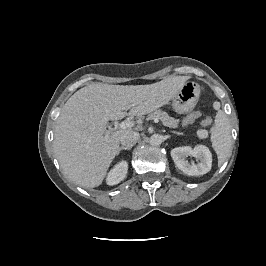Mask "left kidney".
Returning a JSON list of instances; mask_svg holds the SVG:
<instances>
[{
	"label": "left kidney",
	"instance_id": "obj_1",
	"mask_svg": "<svg viewBox=\"0 0 266 266\" xmlns=\"http://www.w3.org/2000/svg\"><path fill=\"white\" fill-rule=\"evenodd\" d=\"M188 156L195 157L200 162L198 164L189 162L187 160ZM171 157L175 165L189 176L203 175L211 170L212 155L204 145H197L194 148L190 146L174 148L171 150Z\"/></svg>",
	"mask_w": 266,
	"mask_h": 266
}]
</instances>
